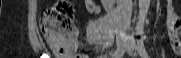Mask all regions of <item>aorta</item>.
I'll use <instances>...</instances> for the list:
<instances>
[{
	"label": "aorta",
	"instance_id": "obj_1",
	"mask_svg": "<svg viewBox=\"0 0 181 58\" xmlns=\"http://www.w3.org/2000/svg\"><path fill=\"white\" fill-rule=\"evenodd\" d=\"M138 2H139V15L137 22V30L142 31L144 28V23L150 6V0H138Z\"/></svg>",
	"mask_w": 181,
	"mask_h": 58
}]
</instances>
